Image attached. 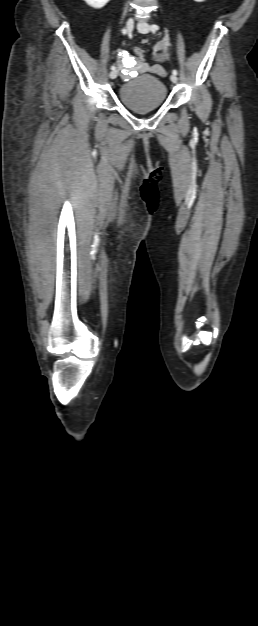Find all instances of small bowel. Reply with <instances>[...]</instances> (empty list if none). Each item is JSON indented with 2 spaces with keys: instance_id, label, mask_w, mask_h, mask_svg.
Instances as JSON below:
<instances>
[{
  "instance_id": "small-bowel-1",
  "label": "small bowel",
  "mask_w": 258,
  "mask_h": 626,
  "mask_svg": "<svg viewBox=\"0 0 258 626\" xmlns=\"http://www.w3.org/2000/svg\"><path fill=\"white\" fill-rule=\"evenodd\" d=\"M167 50V41L164 39L160 42L157 43L156 45V51L158 54L160 55H165ZM116 56L121 64V66L123 68H128L127 64L129 62H133L134 66H140L141 62L138 59L133 58L132 56H130L127 52L122 51V50H117L116 51ZM149 71L151 73H156L159 75H165V71L162 69L161 66L159 65H153L149 67Z\"/></svg>"
}]
</instances>
